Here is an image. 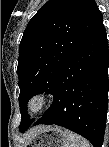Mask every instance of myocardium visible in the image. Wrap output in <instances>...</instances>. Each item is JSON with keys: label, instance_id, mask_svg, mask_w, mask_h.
I'll return each instance as SVG.
<instances>
[{"label": "myocardium", "instance_id": "obj_1", "mask_svg": "<svg viewBox=\"0 0 109 147\" xmlns=\"http://www.w3.org/2000/svg\"><path fill=\"white\" fill-rule=\"evenodd\" d=\"M51 95L48 92H36L27 100V110L37 114L47 107L50 103Z\"/></svg>", "mask_w": 109, "mask_h": 147}]
</instances>
